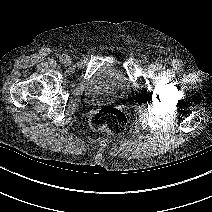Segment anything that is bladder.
I'll list each match as a JSON object with an SVG mask.
<instances>
[{
  "mask_svg": "<svg viewBox=\"0 0 212 212\" xmlns=\"http://www.w3.org/2000/svg\"><path fill=\"white\" fill-rule=\"evenodd\" d=\"M130 88L128 79L115 67L107 66L95 72L85 89V99L89 103L101 99H122Z\"/></svg>",
  "mask_w": 212,
  "mask_h": 212,
  "instance_id": "obj_1",
  "label": "bladder"
}]
</instances>
